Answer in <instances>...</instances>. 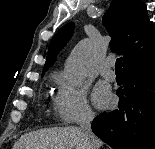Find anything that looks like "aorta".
I'll use <instances>...</instances> for the list:
<instances>
[{
    "label": "aorta",
    "mask_w": 155,
    "mask_h": 149,
    "mask_svg": "<svg viewBox=\"0 0 155 149\" xmlns=\"http://www.w3.org/2000/svg\"><path fill=\"white\" fill-rule=\"evenodd\" d=\"M93 57V44L89 40L80 41L65 63L64 71L68 81L72 84L81 83L88 75Z\"/></svg>",
    "instance_id": "obj_1"
}]
</instances>
